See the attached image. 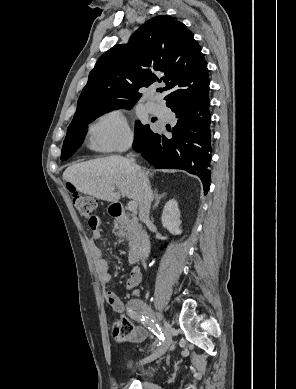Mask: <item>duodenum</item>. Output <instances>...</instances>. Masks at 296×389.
Instances as JSON below:
<instances>
[{"label": "duodenum", "mask_w": 296, "mask_h": 389, "mask_svg": "<svg viewBox=\"0 0 296 389\" xmlns=\"http://www.w3.org/2000/svg\"><path fill=\"white\" fill-rule=\"evenodd\" d=\"M110 214L117 220L123 222L129 228L130 253L129 260L131 263H137L146 258L149 245L142 233L140 225L129 219L124 208L119 203H114L110 207Z\"/></svg>", "instance_id": "obj_1"}]
</instances>
